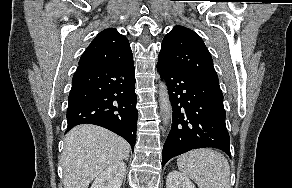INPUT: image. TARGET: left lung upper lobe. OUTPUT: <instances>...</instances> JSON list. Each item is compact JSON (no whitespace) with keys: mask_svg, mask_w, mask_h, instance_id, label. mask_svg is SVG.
<instances>
[{"mask_svg":"<svg viewBox=\"0 0 292 188\" xmlns=\"http://www.w3.org/2000/svg\"><path fill=\"white\" fill-rule=\"evenodd\" d=\"M158 60L208 82L219 84L211 54L194 31L175 26L165 35Z\"/></svg>","mask_w":292,"mask_h":188,"instance_id":"5c2ea615","label":"left lung upper lobe"}]
</instances>
